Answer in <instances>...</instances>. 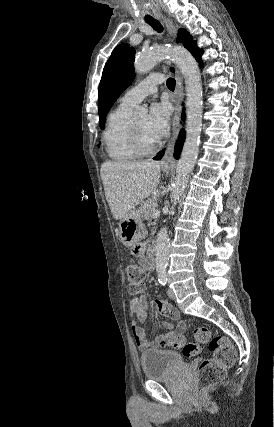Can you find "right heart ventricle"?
<instances>
[{
  "label": "right heart ventricle",
  "instance_id": "obj_1",
  "mask_svg": "<svg viewBox=\"0 0 274 427\" xmlns=\"http://www.w3.org/2000/svg\"><path fill=\"white\" fill-rule=\"evenodd\" d=\"M132 109L133 107L119 104L110 116L109 126L104 133V144L106 155L112 161L128 163L138 158L131 148L129 138Z\"/></svg>",
  "mask_w": 274,
  "mask_h": 427
}]
</instances>
